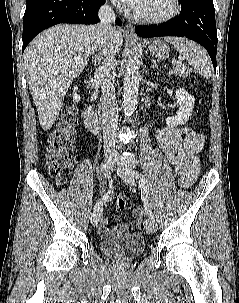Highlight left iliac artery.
<instances>
[{
    "label": "left iliac artery",
    "mask_w": 239,
    "mask_h": 303,
    "mask_svg": "<svg viewBox=\"0 0 239 303\" xmlns=\"http://www.w3.org/2000/svg\"><path fill=\"white\" fill-rule=\"evenodd\" d=\"M135 177L138 180V184L141 189V197L144 201L145 211L149 217L154 218L152 210L149 206V185L147 179L141 172L138 171L135 172Z\"/></svg>",
    "instance_id": "1"
}]
</instances>
